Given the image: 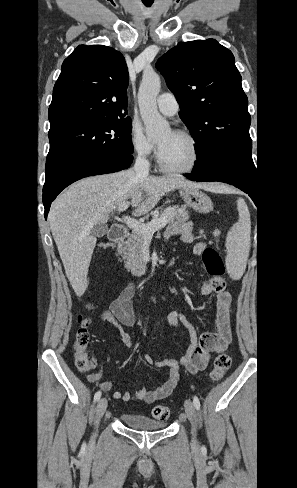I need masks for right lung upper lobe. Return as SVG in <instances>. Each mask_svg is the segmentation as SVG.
Here are the masks:
<instances>
[{
	"mask_svg": "<svg viewBox=\"0 0 297 488\" xmlns=\"http://www.w3.org/2000/svg\"><path fill=\"white\" fill-rule=\"evenodd\" d=\"M128 69L103 45H80L63 62L49 107V133L96 121L127 118Z\"/></svg>",
	"mask_w": 297,
	"mask_h": 488,
	"instance_id": "right-lung-upper-lobe-1",
	"label": "right lung upper lobe"
}]
</instances>
